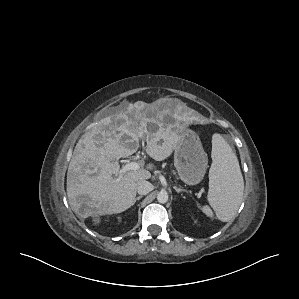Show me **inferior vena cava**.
I'll return each instance as SVG.
<instances>
[{
	"label": "inferior vena cava",
	"instance_id": "1",
	"mask_svg": "<svg viewBox=\"0 0 299 299\" xmlns=\"http://www.w3.org/2000/svg\"><path fill=\"white\" fill-rule=\"evenodd\" d=\"M154 189V186L146 180H139L137 182V192L141 195H146Z\"/></svg>",
	"mask_w": 299,
	"mask_h": 299
}]
</instances>
